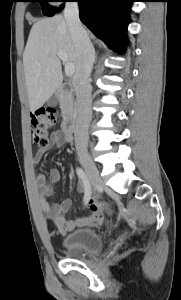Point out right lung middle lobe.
Listing matches in <instances>:
<instances>
[{"instance_id": "right-lung-middle-lobe-1", "label": "right lung middle lobe", "mask_w": 181, "mask_h": 300, "mask_svg": "<svg viewBox=\"0 0 181 300\" xmlns=\"http://www.w3.org/2000/svg\"><path fill=\"white\" fill-rule=\"evenodd\" d=\"M31 1H37V2H40L41 7H42V10H43V13H44V15H46V16H53L57 11H60V10H61L60 8H61L62 6L64 7V5L60 6L58 9H56V8H54V7H51V6L48 4L49 0H31ZM63 7H62V9H63Z\"/></svg>"}]
</instances>
